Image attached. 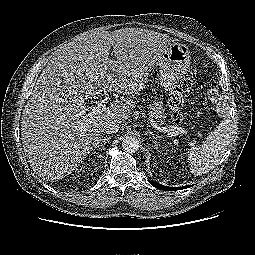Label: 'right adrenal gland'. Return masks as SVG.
Wrapping results in <instances>:
<instances>
[{
    "label": "right adrenal gland",
    "mask_w": 255,
    "mask_h": 255,
    "mask_svg": "<svg viewBox=\"0 0 255 255\" xmlns=\"http://www.w3.org/2000/svg\"><path fill=\"white\" fill-rule=\"evenodd\" d=\"M112 138V136H109V137H104L102 140L99 141V143H103V149L105 148V144L108 140H110ZM97 144V146L99 147L100 144Z\"/></svg>",
    "instance_id": "right-adrenal-gland-1"
}]
</instances>
